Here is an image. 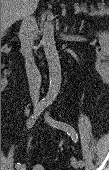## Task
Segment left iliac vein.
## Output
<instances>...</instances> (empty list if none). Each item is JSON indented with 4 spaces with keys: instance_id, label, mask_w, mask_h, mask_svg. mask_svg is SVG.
Instances as JSON below:
<instances>
[{
    "instance_id": "4c4485c4",
    "label": "left iliac vein",
    "mask_w": 109,
    "mask_h": 170,
    "mask_svg": "<svg viewBox=\"0 0 109 170\" xmlns=\"http://www.w3.org/2000/svg\"><path fill=\"white\" fill-rule=\"evenodd\" d=\"M71 164H72V166L74 167V168H80V167H82L81 165H80V163H79V161L76 159V158H71Z\"/></svg>"
}]
</instances>
